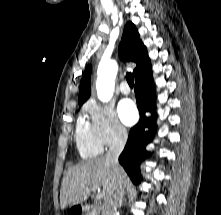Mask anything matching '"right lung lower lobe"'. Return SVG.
Instances as JSON below:
<instances>
[{"label":"right lung lower lobe","instance_id":"right-lung-lower-lobe-1","mask_svg":"<svg viewBox=\"0 0 221 215\" xmlns=\"http://www.w3.org/2000/svg\"><path fill=\"white\" fill-rule=\"evenodd\" d=\"M134 90L137 99V107L140 112V120L139 123L130 130L128 141L119 157V162L124 167L131 180L135 184H138L141 181L139 164L148 155L145 146L152 140L155 131V113L151 117H146L144 115L147 111H155L154 88L151 73L136 79ZM145 127H148L150 130L145 131Z\"/></svg>","mask_w":221,"mask_h":215}]
</instances>
